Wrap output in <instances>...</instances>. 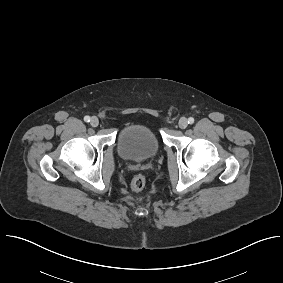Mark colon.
<instances>
[{"mask_svg":"<svg viewBox=\"0 0 283 283\" xmlns=\"http://www.w3.org/2000/svg\"><path fill=\"white\" fill-rule=\"evenodd\" d=\"M146 185V178L142 174L135 175L131 180V189L135 192L141 191Z\"/></svg>","mask_w":283,"mask_h":283,"instance_id":"1","label":"colon"}]
</instances>
